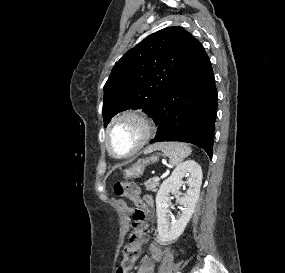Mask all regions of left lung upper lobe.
<instances>
[{"label": "left lung upper lobe", "instance_id": "1", "mask_svg": "<svg viewBox=\"0 0 285 273\" xmlns=\"http://www.w3.org/2000/svg\"><path fill=\"white\" fill-rule=\"evenodd\" d=\"M193 36L169 27L146 37L114 66L104 86V126L117 113L142 108L151 115L185 62Z\"/></svg>", "mask_w": 285, "mask_h": 273}]
</instances>
